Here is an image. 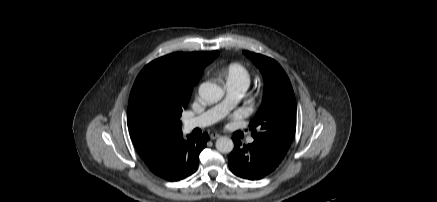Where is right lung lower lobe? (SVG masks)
<instances>
[{"label": "right lung lower lobe", "instance_id": "right-lung-lower-lobe-1", "mask_svg": "<svg viewBox=\"0 0 437 202\" xmlns=\"http://www.w3.org/2000/svg\"><path fill=\"white\" fill-rule=\"evenodd\" d=\"M207 133L201 136H180L171 146L161 152L151 163L149 169L168 181H179L196 172L199 154L206 147Z\"/></svg>", "mask_w": 437, "mask_h": 202}]
</instances>
